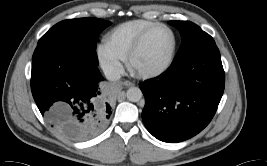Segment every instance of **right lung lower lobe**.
I'll return each mask as SVG.
<instances>
[{
  "label": "right lung lower lobe",
  "instance_id": "obj_1",
  "mask_svg": "<svg viewBox=\"0 0 267 166\" xmlns=\"http://www.w3.org/2000/svg\"><path fill=\"white\" fill-rule=\"evenodd\" d=\"M97 65L54 43L37 46L31 90L44 118L62 134L86 139L101 132L112 113L104 104Z\"/></svg>",
  "mask_w": 267,
  "mask_h": 166
}]
</instances>
